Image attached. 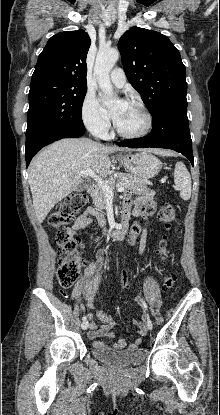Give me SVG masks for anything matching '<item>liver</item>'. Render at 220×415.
<instances>
[{
  "instance_id": "obj_1",
  "label": "liver",
  "mask_w": 220,
  "mask_h": 415,
  "mask_svg": "<svg viewBox=\"0 0 220 415\" xmlns=\"http://www.w3.org/2000/svg\"><path fill=\"white\" fill-rule=\"evenodd\" d=\"M115 151L130 149L78 138L56 141L39 152L29 168V185L38 221L42 223L50 210L78 187L82 182L80 171L90 168L106 177L111 167L108 154Z\"/></svg>"
}]
</instances>
